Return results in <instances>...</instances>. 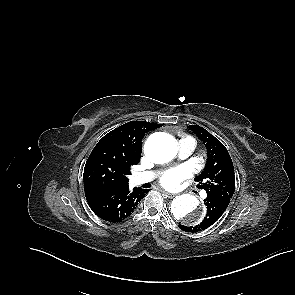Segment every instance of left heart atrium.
Wrapping results in <instances>:
<instances>
[{
	"instance_id": "left-heart-atrium-1",
	"label": "left heart atrium",
	"mask_w": 295,
	"mask_h": 295,
	"mask_svg": "<svg viewBox=\"0 0 295 295\" xmlns=\"http://www.w3.org/2000/svg\"><path fill=\"white\" fill-rule=\"evenodd\" d=\"M189 176L190 170L187 166H178L165 171L160 178V183L167 189H175Z\"/></svg>"
}]
</instances>
